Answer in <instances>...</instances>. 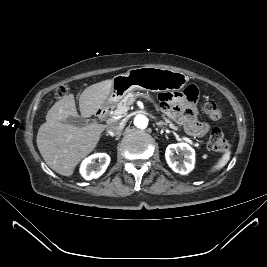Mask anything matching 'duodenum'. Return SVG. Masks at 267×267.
Returning a JSON list of instances; mask_svg holds the SVG:
<instances>
[{"label": "duodenum", "mask_w": 267, "mask_h": 267, "mask_svg": "<svg viewBox=\"0 0 267 267\" xmlns=\"http://www.w3.org/2000/svg\"><path fill=\"white\" fill-rule=\"evenodd\" d=\"M107 112H108V109L105 108V107H103V108L98 109V110L95 112L94 116H95L97 119H102V118L105 117V115L107 114Z\"/></svg>", "instance_id": "obj_1"}]
</instances>
